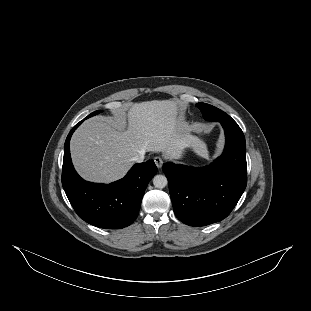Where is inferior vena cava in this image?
<instances>
[{
    "mask_svg": "<svg viewBox=\"0 0 311 311\" xmlns=\"http://www.w3.org/2000/svg\"><path fill=\"white\" fill-rule=\"evenodd\" d=\"M145 154H146V152H144V153H139V154L135 155V156L132 158V161L137 162V163L143 162L144 159H145Z\"/></svg>",
    "mask_w": 311,
    "mask_h": 311,
    "instance_id": "inferior-vena-cava-1",
    "label": "inferior vena cava"
}]
</instances>
